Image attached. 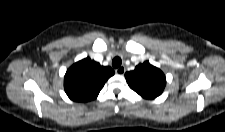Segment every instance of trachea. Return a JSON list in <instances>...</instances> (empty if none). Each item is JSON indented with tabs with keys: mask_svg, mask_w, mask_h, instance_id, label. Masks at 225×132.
I'll list each match as a JSON object with an SVG mask.
<instances>
[{
	"mask_svg": "<svg viewBox=\"0 0 225 132\" xmlns=\"http://www.w3.org/2000/svg\"><path fill=\"white\" fill-rule=\"evenodd\" d=\"M122 64V60L120 57H115L113 60H112V66L114 68H118L120 67V65Z\"/></svg>",
	"mask_w": 225,
	"mask_h": 132,
	"instance_id": "1",
	"label": "trachea"
}]
</instances>
